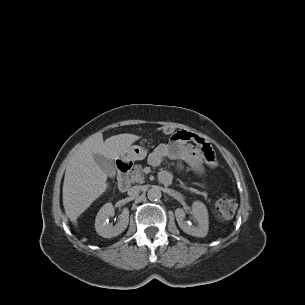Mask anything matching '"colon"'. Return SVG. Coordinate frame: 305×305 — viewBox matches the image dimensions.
<instances>
[{"label":"colon","instance_id":"colon-1","mask_svg":"<svg viewBox=\"0 0 305 305\" xmlns=\"http://www.w3.org/2000/svg\"><path fill=\"white\" fill-rule=\"evenodd\" d=\"M161 131L164 134H173L176 136L179 134V131L176 132L175 129L171 126H164ZM238 203L237 200L233 197L223 194L217 201V208L221 214L225 217H232L237 209Z\"/></svg>","mask_w":305,"mask_h":305}]
</instances>
